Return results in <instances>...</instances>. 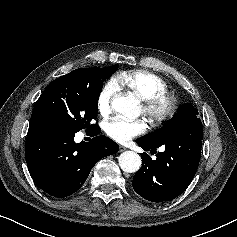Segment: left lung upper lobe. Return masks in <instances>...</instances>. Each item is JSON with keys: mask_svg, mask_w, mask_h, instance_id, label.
Returning a JSON list of instances; mask_svg holds the SVG:
<instances>
[{"mask_svg": "<svg viewBox=\"0 0 237 237\" xmlns=\"http://www.w3.org/2000/svg\"><path fill=\"white\" fill-rule=\"evenodd\" d=\"M198 111L189 103L183 104L176 115L168 120L163 127L155 132L142 136L148 143L158 144L164 142L183 131L197 119Z\"/></svg>", "mask_w": 237, "mask_h": 237, "instance_id": "1", "label": "left lung upper lobe"}]
</instances>
